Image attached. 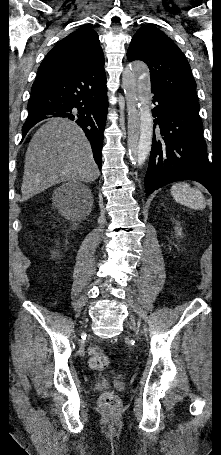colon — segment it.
Segmentation results:
<instances>
[{
	"label": "colon",
	"mask_w": 221,
	"mask_h": 455,
	"mask_svg": "<svg viewBox=\"0 0 221 455\" xmlns=\"http://www.w3.org/2000/svg\"><path fill=\"white\" fill-rule=\"evenodd\" d=\"M89 365L92 369L103 370L109 365V358L102 349L93 347L89 352ZM100 405L109 411H116L120 407V400L114 393L105 392L101 395Z\"/></svg>",
	"instance_id": "colon-1"
}]
</instances>
